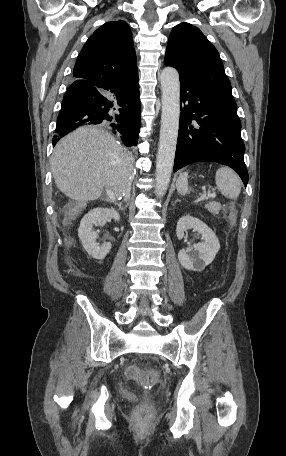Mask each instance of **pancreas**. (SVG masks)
<instances>
[{
  "instance_id": "pancreas-1",
  "label": "pancreas",
  "mask_w": 286,
  "mask_h": 456,
  "mask_svg": "<svg viewBox=\"0 0 286 456\" xmlns=\"http://www.w3.org/2000/svg\"><path fill=\"white\" fill-rule=\"evenodd\" d=\"M205 207L214 215H217L221 210V204L214 201L208 202Z\"/></svg>"
}]
</instances>
